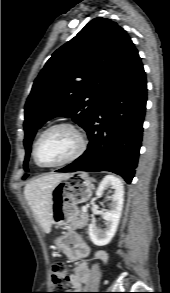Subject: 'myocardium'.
I'll use <instances>...</instances> for the list:
<instances>
[{"label": "myocardium", "instance_id": "obj_1", "mask_svg": "<svg viewBox=\"0 0 170 293\" xmlns=\"http://www.w3.org/2000/svg\"><path fill=\"white\" fill-rule=\"evenodd\" d=\"M56 128H68L71 131H73L77 135V137H78L79 147H78L77 151L72 156H70L69 158H67V159H65L63 161H60V162L54 163V164H44V163H42L38 159V156H37L38 145H39L40 141L43 139V137L48 132H50L51 130L56 129ZM86 147H87L86 139H85L84 135L82 134V132L77 127H75L74 125H72L70 123L60 122V123H56V124H53V125L47 127L38 136V138L36 139V141H35V143L33 145L32 155H33L34 161L40 167H44V168H56V167H60V166H64L66 164L72 163L75 160H77L78 158H80L83 155V153L85 152Z\"/></svg>", "mask_w": 170, "mask_h": 293}]
</instances>
